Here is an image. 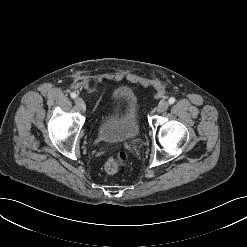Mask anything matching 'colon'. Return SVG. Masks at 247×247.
Instances as JSON below:
<instances>
[{
  "instance_id": "obj_1",
  "label": "colon",
  "mask_w": 247,
  "mask_h": 247,
  "mask_svg": "<svg viewBox=\"0 0 247 247\" xmlns=\"http://www.w3.org/2000/svg\"><path fill=\"white\" fill-rule=\"evenodd\" d=\"M128 161V155L125 151H118L104 162V169L109 174L117 173Z\"/></svg>"
}]
</instances>
